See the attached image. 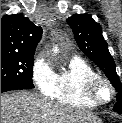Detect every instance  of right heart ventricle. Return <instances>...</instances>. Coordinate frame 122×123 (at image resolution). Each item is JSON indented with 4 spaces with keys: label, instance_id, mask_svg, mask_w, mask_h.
Instances as JSON below:
<instances>
[{
    "label": "right heart ventricle",
    "instance_id": "1",
    "mask_svg": "<svg viewBox=\"0 0 122 123\" xmlns=\"http://www.w3.org/2000/svg\"><path fill=\"white\" fill-rule=\"evenodd\" d=\"M98 75L96 70L80 57L72 58L67 68L56 74L52 98L57 102L77 108H94L97 105L83 94L87 78Z\"/></svg>",
    "mask_w": 122,
    "mask_h": 123
}]
</instances>
